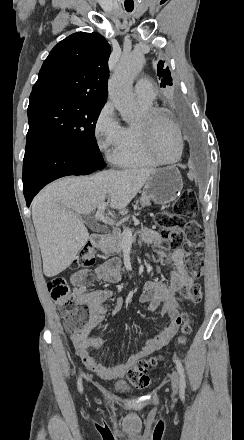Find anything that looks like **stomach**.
I'll return each instance as SVG.
<instances>
[{
	"label": "stomach",
	"instance_id": "0dacf381",
	"mask_svg": "<svg viewBox=\"0 0 244 440\" xmlns=\"http://www.w3.org/2000/svg\"><path fill=\"white\" fill-rule=\"evenodd\" d=\"M182 188V176L176 166L158 168L145 182L141 196L142 206H150V202L170 204L180 196Z\"/></svg>",
	"mask_w": 244,
	"mask_h": 440
}]
</instances>
